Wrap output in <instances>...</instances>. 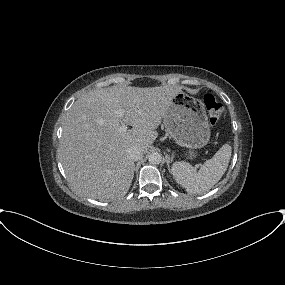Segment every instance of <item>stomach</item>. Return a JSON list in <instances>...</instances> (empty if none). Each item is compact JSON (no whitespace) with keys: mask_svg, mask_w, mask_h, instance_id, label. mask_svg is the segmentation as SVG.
I'll return each instance as SVG.
<instances>
[{"mask_svg":"<svg viewBox=\"0 0 285 285\" xmlns=\"http://www.w3.org/2000/svg\"><path fill=\"white\" fill-rule=\"evenodd\" d=\"M163 122L176 143L189 149L185 154L189 159L197 156L195 149L209 142L210 126L204 104L182 91L172 99Z\"/></svg>","mask_w":285,"mask_h":285,"instance_id":"stomach-1","label":"stomach"}]
</instances>
